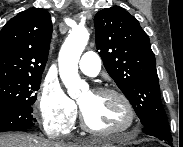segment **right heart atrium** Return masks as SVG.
I'll return each mask as SVG.
<instances>
[{"instance_id":"obj_1","label":"right heart atrium","mask_w":183,"mask_h":147,"mask_svg":"<svg viewBox=\"0 0 183 147\" xmlns=\"http://www.w3.org/2000/svg\"><path fill=\"white\" fill-rule=\"evenodd\" d=\"M37 103L42 123L47 130L62 134L74 125L77 106L57 81L47 79L42 83Z\"/></svg>"}]
</instances>
